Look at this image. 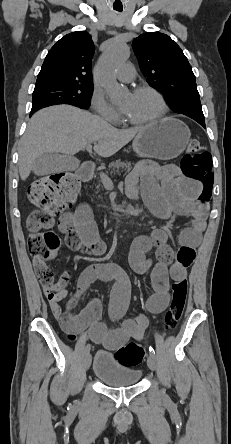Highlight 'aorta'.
<instances>
[{
	"label": "aorta",
	"mask_w": 231,
	"mask_h": 444,
	"mask_svg": "<svg viewBox=\"0 0 231 444\" xmlns=\"http://www.w3.org/2000/svg\"><path fill=\"white\" fill-rule=\"evenodd\" d=\"M129 57V47L124 42L114 43L99 59L98 71L102 86L112 100L122 98L127 89L119 85L114 77V71Z\"/></svg>",
	"instance_id": "762f6f07"
}]
</instances>
